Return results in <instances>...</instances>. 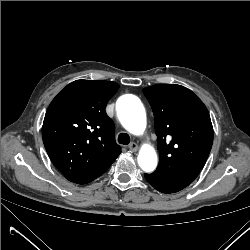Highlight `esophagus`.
I'll list each match as a JSON object with an SVG mask.
<instances>
[{"label":"esophagus","mask_w":250,"mask_h":250,"mask_svg":"<svg viewBox=\"0 0 250 250\" xmlns=\"http://www.w3.org/2000/svg\"><path fill=\"white\" fill-rule=\"evenodd\" d=\"M128 149L131 151V152H135L138 150V145L134 142L130 143L129 146H128Z\"/></svg>","instance_id":"obj_1"}]
</instances>
